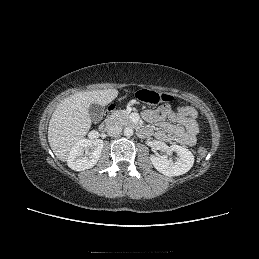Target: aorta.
Instances as JSON below:
<instances>
[{"label": "aorta", "mask_w": 259, "mask_h": 259, "mask_svg": "<svg viewBox=\"0 0 259 259\" xmlns=\"http://www.w3.org/2000/svg\"><path fill=\"white\" fill-rule=\"evenodd\" d=\"M133 133H134V130L131 127H126L124 129V135L126 137H131L133 135Z\"/></svg>", "instance_id": "1"}]
</instances>
